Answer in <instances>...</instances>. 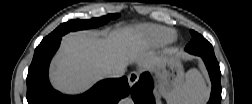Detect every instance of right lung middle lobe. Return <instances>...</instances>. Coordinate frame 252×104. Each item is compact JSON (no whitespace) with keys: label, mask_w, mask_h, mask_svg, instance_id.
I'll use <instances>...</instances> for the list:
<instances>
[{"label":"right lung middle lobe","mask_w":252,"mask_h":104,"mask_svg":"<svg viewBox=\"0 0 252 104\" xmlns=\"http://www.w3.org/2000/svg\"><path fill=\"white\" fill-rule=\"evenodd\" d=\"M119 16V14H108L103 17L99 18H92L89 20H70L61 24L58 28H56L51 34L45 37L41 43L50 42L57 38H61L63 35L70 31L82 30V29H89L98 27L101 25L106 24L110 19H115Z\"/></svg>","instance_id":"1"}]
</instances>
